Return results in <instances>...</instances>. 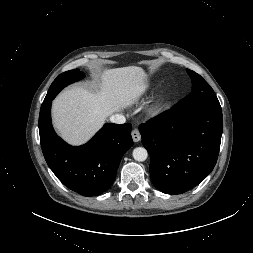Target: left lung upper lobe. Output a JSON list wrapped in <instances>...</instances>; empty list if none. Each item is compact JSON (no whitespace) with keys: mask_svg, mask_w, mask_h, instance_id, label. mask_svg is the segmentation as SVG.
Listing matches in <instances>:
<instances>
[{"mask_svg":"<svg viewBox=\"0 0 253 253\" xmlns=\"http://www.w3.org/2000/svg\"><path fill=\"white\" fill-rule=\"evenodd\" d=\"M192 80V92L174 105L177 109L212 108L221 109L216 94L207 82L197 73L187 69Z\"/></svg>","mask_w":253,"mask_h":253,"instance_id":"obj_1","label":"left lung upper lobe"}]
</instances>
